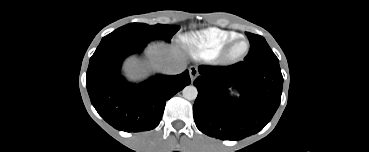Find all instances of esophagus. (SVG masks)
Masks as SVG:
<instances>
[{"mask_svg":"<svg viewBox=\"0 0 369 152\" xmlns=\"http://www.w3.org/2000/svg\"><path fill=\"white\" fill-rule=\"evenodd\" d=\"M189 75L191 80L193 81L198 76V69L195 66H191L189 68Z\"/></svg>","mask_w":369,"mask_h":152,"instance_id":"obj_1","label":"esophagus"}]
</instances>
